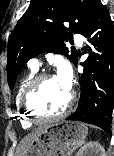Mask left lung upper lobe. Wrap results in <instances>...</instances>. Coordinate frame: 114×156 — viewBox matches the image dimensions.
Instances as JSON below:
<instances>
[{
	"instance_id": "1",
	"label": "left lung upper lobe",
	"mask_w": 114,
	"mask_h": 156,
	"mask_svg": "<svg viewBox=\"0 0 114 156\" xmlns=\"http://www.w3.org/2000/svg\"><path fill=\"white\" fill-rule=\"evenodd\" d=\"M99 0H32L9 40L7 74L10 88L25 63L40 53L67 56L74 64L77 54H69L65 41L72 33L83 34L91 12ZM69 22V29L63 25Z\"/></svg>"
}]
</instances>
